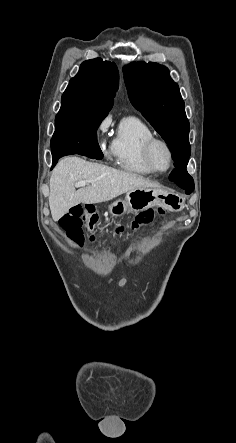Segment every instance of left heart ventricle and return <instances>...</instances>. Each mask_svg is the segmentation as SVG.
<instances>
[{
    "label": "left heart ventricle",
    "instance_id": "obj_1",
    "mask_svg": "<svg viewBox=\"0 0 236 443\" xmlns=\"http://www.w3.org/2000/svg\"><path fill=\"white\" fill-rule=\"evenodd\" d=\"M153 160L156 167L164 170L169 165V155L167 150L162 145H156L153 150Z\"/></svg>",
    "mask_w": 236,
    "mask_h": 443
}]
</instances>
